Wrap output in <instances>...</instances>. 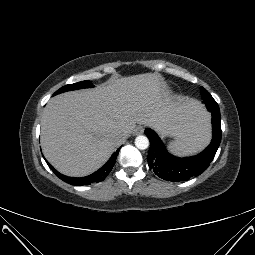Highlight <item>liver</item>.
Returning <instances> with one entry per match:
<instances>
[{
    "mask_svg": "<svg viewBox=\"0 0 255 255\" xmlns=\"http://www.w3.org/2000/svg\"><path fill=\"white\" fill-rule=\"evenodd\" d=\"M203 114L197 101L171 96L160 75H133L52 98L42 115L41 146L59 172L86 176L119 145L117 131L128 137L138 123L177 137Z\"/></svg>",
    "mask_w": 255,
    "mask_h": 255,
    "instance_id": "liver-1",
    "label": "liver"
}]
</instances>
